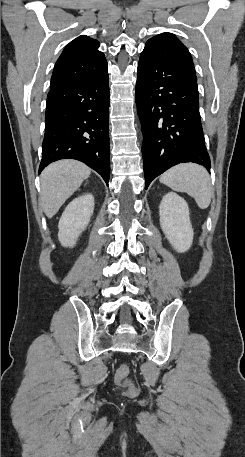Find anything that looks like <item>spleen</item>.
<instances>
[{
    "label": "spleen",
    "instance_id": "1",
    "mask_svg": "<svg viewBox=\"0 0 245 457\" xmlns=\"http://www.w3.org/2000/svg\"><path fill=\"white\" fill-rule=\"evenodd\" d=\"M160 182H164L172 190L187 192L195 198L199 208H207L211 202L212 186L209 172L201 164H177L161 174Z\"/></svg>",
    "mask_w": 245,
    "mask_h": 457
}]
</instances>
